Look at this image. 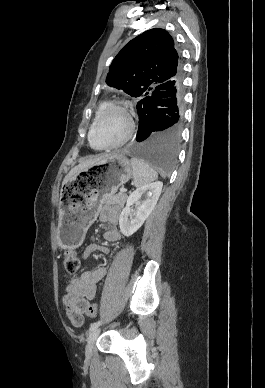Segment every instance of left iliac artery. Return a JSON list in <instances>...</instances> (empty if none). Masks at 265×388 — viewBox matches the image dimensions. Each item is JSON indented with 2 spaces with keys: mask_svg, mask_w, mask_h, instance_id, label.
Here are the masks:
<instances>
[{
  "mask_svg": "<svg viewBox=\"0 0 265 388\" xmlns=\"http://www.w3.org/2000/svg\"><path fill=\"white\" fill-rule=\"evenodd\" d=\"M101 324H102V321H98V322L92 323L91 326H90V331H92L93 329L97 328Z\"/></svg>",
  "mask_w": 265,
  "mask_h": 388,
  "instance_id": "left-iliac-artery-1",
  "label": "left iliac artery"
}]
</instances>
